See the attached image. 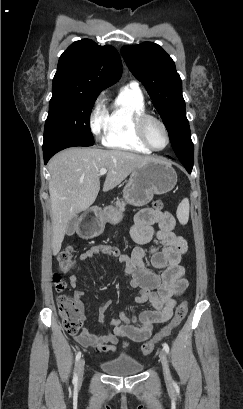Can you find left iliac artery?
I'll list each match as a JSON object with an SVG mask.
<instances>
[{
  "label": "left iliac artery",
  "instance_id": "1",
  "mask_svg": "<svg viewBox=\"0 0 243 409\" xmlns=\"http://www.w3.org/2000/svg\"><path fill=\"white\" fill-rule=\"evenodd\" d=\"M163 348L167 354H169V346L166 342L163 343Z\"/></svg>",
  "mask_w": 243,
  "mask_h": 409
}]
</instances>
